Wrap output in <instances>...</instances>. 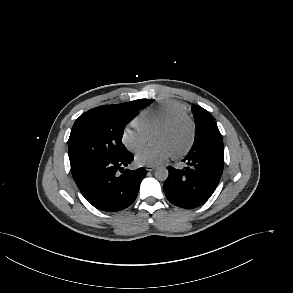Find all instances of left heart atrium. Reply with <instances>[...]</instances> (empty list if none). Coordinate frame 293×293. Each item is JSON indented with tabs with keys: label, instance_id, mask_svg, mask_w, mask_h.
I'll list each match as a JSON object with an SVG mask.
<instances>
[{
	"label": "left heart atrium",
	"instance_id": "39dd6f15",
	"mask_svg": "<svg viewBox=\"0 0 293 293\" xmlns=\"http://www.w3.org/2000/svg\"><path fill=\"white\" fill-rule=\"evenodd\" d=\"M173 155L172 150L165 143H156L143 149L136 155L135 161L140 166H154L161 164Z\"/></svg>",
	"mask_w": 293,
	"mask_h": 293
}]
</instances>
